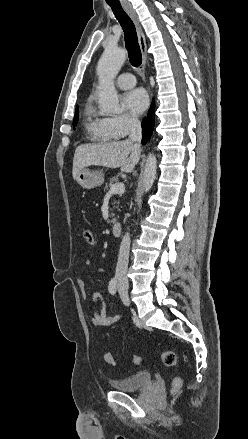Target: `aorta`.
Listing matches in <instances>:
<instances>
[{
	"instance_id": "1",
	"label": "aorta",
	"mask_w": 248,
	"mask_h": 439,
	"mask_svg": "<svg viewBox=\"0 0 248 439\" xmlns=\"http://www.w3.org/2000/svg\"><path fill=\"white\" fill-rule=\"evenodd\" d=\"M126 60V51L117 46H108L97 64L99 79L98 103L103 113H119L121 111L117 91L114 86V78L117 76ZM157 160L153 153L147 157L143 188L147 193L156 179Z\"/></svg>"
}]
</instances>
